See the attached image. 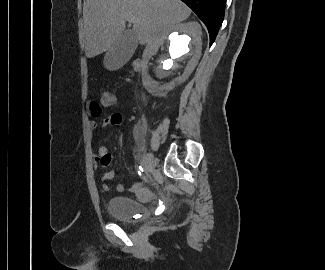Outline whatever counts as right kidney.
Returning <instances> with one entry per match:
<instances>
[{"instance_id": "right-kidney-1", "label": "right kidney", "mask_w": 325, "mask_h": 270, "mask_svg": "<svg viewBox=\"0 0 325 270\" xmlns=\"http://www.w3.org/2000/svg\"><path fill=\"white\" fill-rule=\"evenodd\" d=\"M201 49V27L197 22L177 24L164 30L158 37L155 50L144 53L143 86L149 93L164 95L181 85L196 67ZM156 54L155 62L149 64V59Z\"/></svg>"}]
</instances>
